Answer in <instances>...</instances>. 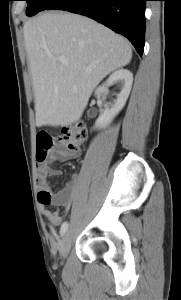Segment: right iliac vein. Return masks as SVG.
Wrapping results in <instances>:
<instances>
[{
	"label": "right iliac vein",
	"mask_w": 181,
	"mask_h": 300,
	"mask_svg": "<svg viewBox=\"0 0 181 300\" xmlns=\"http://www.w3.org/2000/svg\"><path fill=\"white\" fill-rule=\"evenodd\" d=\"M72 244V234L68 230L65 232L62 241H61V246H60V253L62 257H66L67 254L69 253V250L71 248Z\"/></svg>",
	"instance_id": "1"
}]
</instances>
